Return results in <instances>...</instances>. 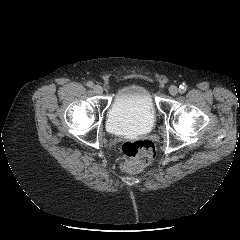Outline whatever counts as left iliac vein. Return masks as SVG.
<instances>
[{
    "label": "left iliac vein",
    "instance_id": "obj_1",
    "mask_svg": "<svg viewBox=\"0 0 240 240\" xmlns=\"http://www.w3.org/2000/svg\"><path fill=\"white\" fill-rule=\"evenodd\" d=\"M169 93L172 96H176L179 93V88L177 86H175V85H171L169 87Z\"/></svg>",
    "mask_w": 240,
    "mask_h": 240
}]
</instances>
